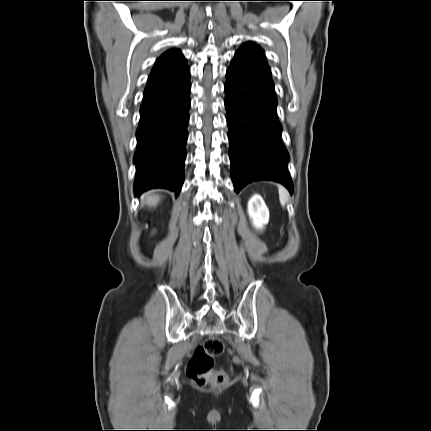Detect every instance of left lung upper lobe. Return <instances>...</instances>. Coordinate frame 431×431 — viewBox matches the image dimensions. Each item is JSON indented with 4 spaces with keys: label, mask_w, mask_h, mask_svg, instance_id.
<instances>
[{
    "label": "left lung upper lobe",
    "mask_w": 431,
    "mask_h": 431,
    "mask_svg": "<svg viewBox=\"0 0 431 431\" xmlns=\"http://www.w3.org/2000/svg\"><path fill=\"white\" fill-rule=\"evenodd\" d=\"M232 65L267 73L271 76L270 68L265 60L263 51L256 45L245 43L234 55Z\"/></svg>",
    "instance_id": "obj_1"
}]
</instances>
